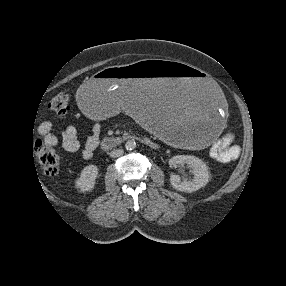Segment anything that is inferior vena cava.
<instances>
[{
    "instance_id": "1",
    "label": "inferior vena cava",
    "mask_w": 286,
    "mask_h": 286,
    "mask_svg": "<svg viewBox=\"0 0 286 286\" xmlns=\"http://www.w3.org/2000/svg\"><path fill=\"white\" fill-rule=\"evenodd\" d=\"M124 153L123 149H114L110 152V157L117 158L122 156Z\"/></svg>"
}]
</instances>
